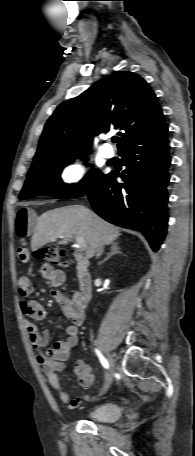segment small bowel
Returning a JSON list of instances; mask_svg holds the SVG:
<instances>
[{
  "label": "small bowel",
  "mask_w": 195,
  "mask_h": 456,
  "mask_svg": "<svg viewBox=\"0 0 195 456\" xmlns=\"http://www.w3.org/2000/svg\"><path fill=\"white\" fill-rule=\"evenodd\" d=\"M34 214L31 210L22 208L17 212L15 219V232L20 238H26L32 232ZM18 257L22 262H28L30 259L29 250L25 246L18 249ZM40 274L53 288L61 287L66 279L63 270L55 269L48 264H42ZM18 293L22 297H28L31 290V280L28 276H22L17 283ZM54 300L60 306L64 316L69 319L70 324L66 328L67 337L54 343L52 348L43 354L42 350L49 343V333L44 330L40 332L33 321L43 320L46 316L44 307L37 301L24 299L20 302V308L23 315L26 317L25 327L31 346L39 354L38 362L44 371L50 386L56 391L59 399L74 409L79 406L82 401L92 400L88 394H82L78 397L71 398L63 389L58 371L65 368V362L69 359L71 352L78 343L79 327L85 319V305L79 293L68 295L62 291L54 290L52 292ZM74 371L78 377V382L83 387H89L94 381V376L91 367L83 360H77Z\"/></svg>",
  "instance_id": "obj_1"
}]
</instances>
